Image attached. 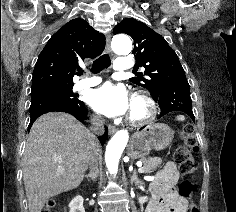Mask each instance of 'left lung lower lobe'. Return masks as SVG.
Masks as SVG:
<instances>
[{
	"label": "left lung lower lobe",
	"instance_id": "left-lung-lower-lobe-1",
	"mask_svg": "<svg viewBox=\"0 0 236 212\" xmlns=\"http://www.w3.org/2000/svg\"><path fill=\"white\" fill-rule=\"evenodd\" d=\"M153 99L159 104L161 109L159 118L173 111H181L188 114L195 121L190 86L186 78L167 85L162 89L159 96L153 97Z\"/></svg>",
	"mask_w": 236,
	"mask_h": 212
}]
</instances>
